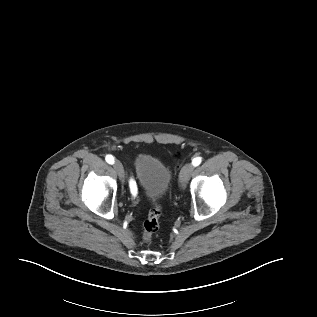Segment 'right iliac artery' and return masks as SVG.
Masks as SVG:
<instances>
[{
    "label": "right iliac artery",
    "instance_id": "right-iliac-artery-1",
    "mask_svg": "<svg viewBox=\"0 0 317 317\" xmlns=\"http://www.w3.org/2000/svg\"><path fill=\"white\" fill-rule=\"evenodd\" d=\"M106 162L109 164L114 163V157L112 155H107L105 158ZM131 192L135 195L136 194V189L133 185H131Z\"/></svg>",
    "mask_w": 317,
    "mask_h": 317
}]
</instances>
